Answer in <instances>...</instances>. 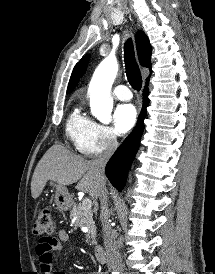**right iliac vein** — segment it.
<instances>
[{"label": "right iliac vein", "mask_w": 215, "mask_h": 274, "mask_svg": "<svg viewBox=\"0 0 215 274\" xmlns=\"http://www.w3.org/2000/svg\"><path fill=\"white\" fill-rule=\"evenodd\" d=\"M121 274H128V273L122 272Z\"/></svg>", "instance_id": "obj_1"}]
</instances>
